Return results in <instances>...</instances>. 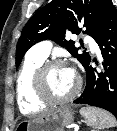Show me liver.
<instances>
[{
    "label": "liver",
    "mask_w": 117,
    "mask_h": 131,
    "mask_svg": "<svg viewBox=\"0 0 117 131\" xmlns=\"http://www.w3.org/2000/svg\"><path fill=\"white\" fill-rule=\"evenodd\" d=\"M52 111H53V110H52ZM52 111L46 112V113L42 114L41 116H44V115H46V114H48V113H50V112H52ZM41 116H38V117H41Z\"/></svg>",
    "instance_id": "liver-1"
}]
</instances>
